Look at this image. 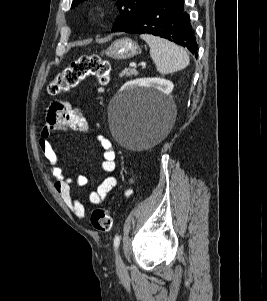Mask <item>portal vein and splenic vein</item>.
<instances>
[{"label":"portal vein and splenic vein","instance_id":"portal-vein-and-splenic-vein-1","mask_svg":"<svg viewBox=\"0 0 267 301\" xmlns=\"http://www.w3.org/2000/svg\"><path fill=\"white\" fill-rule=\"evenodd\" d=\"M129 66H130V67H136L137 64H136V63H130ZM141 66H142V67H146V63H145V62H142V63H141Z\"/></svg>","mask_w":267,"mask_h":301}]
</instances>
